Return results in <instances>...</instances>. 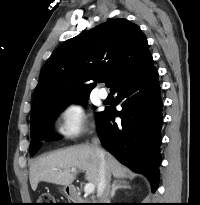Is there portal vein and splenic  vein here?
<instances>
[{
	"instance_id": "obj_1",
	"label": "portal vein and splenic vein",
	"mask_w": 200,
	"mask_h": 205,
	"mask_svg": "<svg viewBox=\"0 0 200 205\" xmlns=\"http://www.w3.org/2000/svg\"><path fill=\"white\" fill-rule=\"evenodd\" d=\"M71 172H76V169H72ZM94 190H95V186H94V184H92V183H87V184L84 186V192H85L86 194H91Z\"/></svg>"
}]
</instances>
